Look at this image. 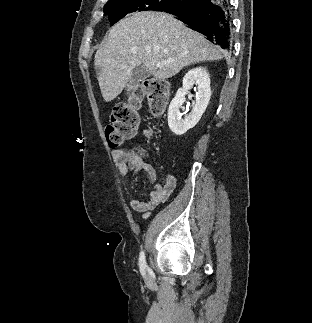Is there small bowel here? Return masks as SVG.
<instances>
[{"mask_svg": "<svg viewBox=\"0 0 312 323\" xmlns=\"http://www.w3.org/2000/svg\"><path fill=\"white\" fill-rule=\"evenodd\" d=\"M113 158L118 172L122 177L145 172L151 181H156L157 173L155 168L146 163L138 154L129 150H115L113 152ZM175 186V177L171 174H166L163 177L162 183L155 184L147 200L131 198L129 200L130 207L132 210L142 213V219H148L154 207L167 200L174 191Z\"/></svg>", "mask_w": 312, "mask_h": 323, "instance_id": "1", "label": "small bowel"}]
</instances>
